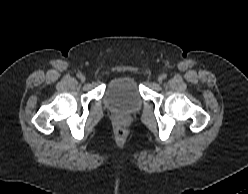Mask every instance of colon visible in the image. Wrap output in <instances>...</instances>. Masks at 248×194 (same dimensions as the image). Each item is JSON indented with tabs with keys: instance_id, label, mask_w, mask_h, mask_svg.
<instances>
[{
	"instance_id": "colon-1",
	"label": "colon",
	"mask_w": 248,
	"mask_h": 194,
	"mask_svg": "<svg viewBox=\"0 0 248 194\" xmlns=\"http://www.w3.org/2000/svg\"><path fill=\"white\" fill-rule=\"evenodd\" d=\"M116 135L118 137H123V135H124V128L122 126L117 127V129H116Z\"/></svg>"
}]
</instances>
